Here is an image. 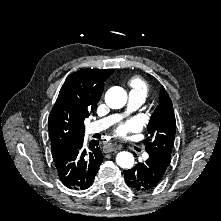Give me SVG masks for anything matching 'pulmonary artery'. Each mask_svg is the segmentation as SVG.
Listing matches in <instances>:
<instances>
[{"instance_id":"e3ab8cb5","label":"pulmonary artery","mask_w":221,"mask_h":221,"mask_svg":"<svg viewBox=\"0 0 221 221\" xmlns=\"http://www.w3.org/2000/svg\"><path fill=\"white\" fill-rule=\"evenodd\" d=\"M144 101H145V97L143 95L139 93L130 92L129 100H128V108L130 110L136 109L140 107L144 103ZM119 118H120L119 115L114 114V115H110L105 118L99 119L91 123L87 127V132L91 134V133L103 131L107 129L109 126H111L112 124H114L115 122H117Z\"/></svg>"}]
</instances>
